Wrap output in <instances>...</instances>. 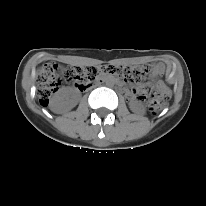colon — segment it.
Segmentation results:
<instances>
[{"label":"colon","mask_w":206,"mask_h":206,"mask_svg":"<svg viewBox=\"0 0 206 206\" xmlns=\"http://www.w3.org/2000/svg\"><path fill=\"white\" fill-rule=\"evenodd\" d=\"M105 72L113 75H120L132 81L144 79L148 74L145 67L131 68L125 66H73L67 68L62 77L67 82L75 83L80 90H85L88 85L95 80L98 74ZM61 84L59 67L55 64L47 63L41 66L37 75L38 99L42 106H47L51 96L57 91ZM149 108L156 113L164 107V100L168 98V93L164 87L160 93L149 90Z\"/></svg>","instance_id":"colon-1"}]
</instances>
